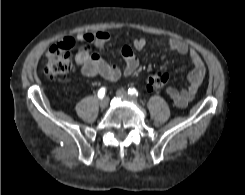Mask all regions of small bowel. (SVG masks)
Wrapping results in <instances>:
<instances>
[{
  "mask_svg": "<svg viewBox=\"0 0 245 195\" xmlns=\"http://www.w3.org/2000/svg\"><path fill=\"white\" fill-rule=\"evenodd\" d=\"M76 40L102 48L110 40V35L105 31L86 32L78 34ZM146 45L147 41L144 38H137L133 41L132 46L122 47L121 56L125 61L123 69L106 62L99 54L91 51L88 46L83 47L77 53L76 63L80 66L82 74L87 77L100 76L115 81L122 75L130 76L136 72L139 66V60L135 55V51L144 49ZM165 45L178 54L188 55L193 64V69L187 75L188 86L185 89L177 90L169 87L166 90V93L174 104L177 107L183 108L188 105L197 93L205 77L206 66L198 52L184 41L171 38L166 41Z\"/></svg>",
  "mask_w": 245,
  "mask_h": 195,
  "instance_id": "1",
  "label": "small bowel"
}]
</instances>
